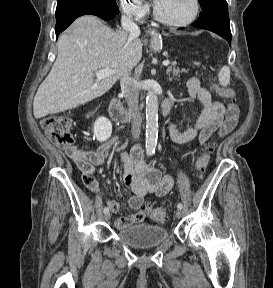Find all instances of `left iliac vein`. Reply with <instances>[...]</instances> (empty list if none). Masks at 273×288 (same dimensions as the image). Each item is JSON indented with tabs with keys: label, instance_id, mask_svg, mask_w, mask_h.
Wrapping results in <instances>:
<instances>
[{
	"label": "left iliac vein",
	"instance_id": "1",
	"mask_svg": "<svg viewBox=\"0 0 273 288\" xmlns=\"http://www.w3.org/2000/svg\"><path fill=\"white\" fill-rule=\"evenodd\" d=\"M175 216L177 218H181L183 216V211L181 209L176 210Z\"/></svg>",
	"mask_w": 273,
	"mask_h": 288
}]
</instances>
